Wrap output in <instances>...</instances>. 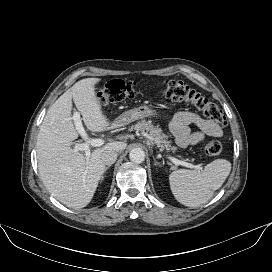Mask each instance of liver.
<instances>
[{
	"label": "liver",
	"mask_w": 272,
	"mask_h": 272,
	"mask_svg": "<svg viewBox=\"0 0 272 272\" xmlns=\"http://www.w3.org/2000/svg\"><path fill=\"white\" fill-rule=\"evenodd\" d=\"M100 80L82 79L62 94L48 109L37 137L41 179L51 195L70 208H83L92 200L105 169L102 153L122 152L127 147L125 142H110L93 150L89 157L70 147L78 137L72 121V100L88 130L103 132L116 128L103 114L96 97L95 85Z\"/></svg>",
	"instance_id": "1"
}]
</instances>
